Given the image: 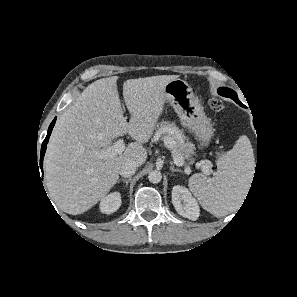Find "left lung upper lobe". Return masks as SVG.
Wrapping results in <instances>:
<instances>
[{
  "label": "left lung upper lobe",
  "mask_w": 297,
  "mask_h": 297,
  "mask_svg": "<svg viewBox=\"0 0 297 297\" xmlns=\"http://www.w3.org/2000/svg\"><path fill=\"white\" fill-rule=\"evenodd\" d=\"M218 93L224 97H230L233 99L235 102L238 100L237 94L235 91L229 88H219ZM239 101V100H238Z\"/></svg>",
  "instance_id": "5c2ea615"
}]
</instances>
